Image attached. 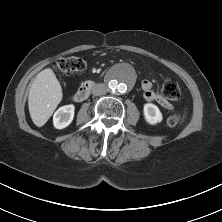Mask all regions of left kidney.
I'll return each mask as SVG.
<instances>
[{"label":"left kidney","mask_w":222,"mask_h":222,"mask_svg":"<svg viewBox=\"0 0 222 222\" xmlns=\"http://www.w3.org/2000/svg\"><path fill=\"white\" fill-rule=\"evenodd\" d=\"M143 112L146 122L151 125H155L162 121V113L159 108L152 103H146L144 105Z\"/></svg>","instance_id":"5707ae66"}]
</instances>
